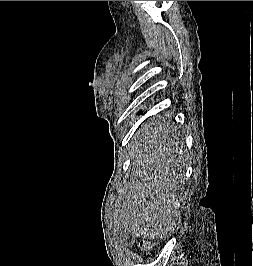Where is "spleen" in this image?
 Returning <instances> with one entry per match:
<instances>
[{"label": "spleen", "instance_id": "1", "mask_svg": "<svg viewBox=\"0 0 253 266\" xmlns=\"http://www.w3.org/2000/svg\"><path fill=\"white\" fill-rule=\"evenodd\" d=\"M142 147L133 150L140 160L134 161V183L144 190L133 193L136 207H116V216H127L128 235L134 242H164L165 235H177V215L174 201L180 191L172 190L181 184L183 168L182 141H165L163 135H142ZM149 189V190H147Z\"/></svg>", "mask_w": 253, "mask_h": 266}]
</instances>
